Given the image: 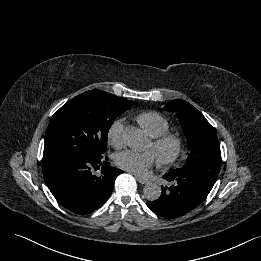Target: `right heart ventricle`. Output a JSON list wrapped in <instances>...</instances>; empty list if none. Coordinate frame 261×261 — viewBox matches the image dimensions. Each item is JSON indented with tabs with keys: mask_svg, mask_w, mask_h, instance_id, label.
<instances>
[{
	"mask_svg": "<svg viewBox=\"0 0 261 261\" xmlns=\"http://www.w3.org/2000/svg\"><path fill=\"white\" fill-rule=\"evenodd\" d=\"M137 123L150 137H157L169 130L167 119L156 111H146L136 116Z\"/></svg>",
	"mask_w": 261,
	"mask_h": 261,
	"instance_id": "right-heart-ventricle-1",
	"label": "right heart ventricle"
}]
</instances>
